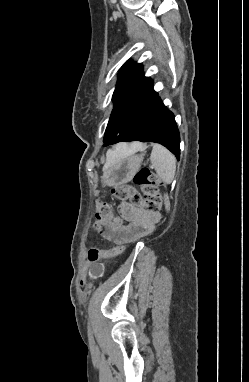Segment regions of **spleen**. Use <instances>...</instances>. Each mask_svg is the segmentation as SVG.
<instances>
[{
  "instance_id": "3e777b00",
  "label": "spleen",
  "mask_w": 249,
  "mask_h": 382,
  "mask_svg": "<svg viewBox=\"0 0 249 382\" xmlns=\"http://www.w3.org/2000/svg\"><path fill=\"white\" fill-rule=\"evenodd\" d=\"M150 161L158 176L166 184H170L175 176L176 159L174 155L160 144H154Z\"/></svg>"
}]
</instances>
